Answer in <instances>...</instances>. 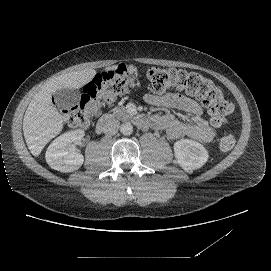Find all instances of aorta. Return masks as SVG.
I'll use <instances>...</instances> for the list:
<instances>
[{"label": "aorta", "mask_w": 271, "mask_h": 271, "mask_svg": "<svg viewBox=\"0 0 271 271\" xmlns=\"http://www.w3.org/2000/svg\"><path fill=\"white\" fill-rule=\"evenodd\" d=\"M120 132L123 135H130L133 132V126L129 122H125L120 126Z\"/></svg>", "instance_id": "aorta-1"}]
</instances>
